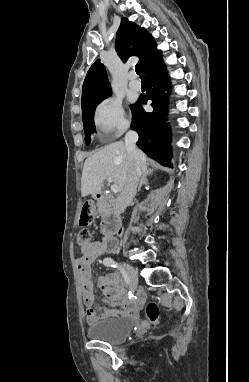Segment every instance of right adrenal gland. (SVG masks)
<instances>
[{"mask_svg": "<svg viewBox=\"0 0 249 382\" xmlns=\"http://www.w3.org/2000/svg\"><path fill=\"white\" fill-rule=\"evenodd\" d=\"M152 174V170H149L148 172L146 173H143V175L141 176V179H140V183H139V186H138V191H140L141 189V186L144 184V183H147V176L148 175H151Z\"/></svg>", "mask_w": 249, "mask_h": 382, "instance_id": "1", "label": "right adrenal gland"}]
</instances>
